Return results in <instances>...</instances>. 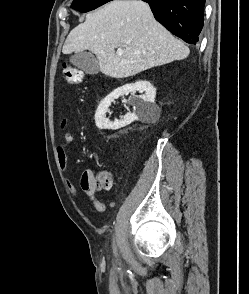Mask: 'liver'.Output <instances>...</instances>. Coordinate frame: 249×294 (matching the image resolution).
Wrapping results in <instances>:
<instances>
[{"label": "liver", "instance_id": "1", "mask_svg": "<svg viewBox=\"0 0 249 294\" xmlns=\"http://www.w3.org/2000/svg\"><path fill=\"white\" fill-rule=\"evenodd\" d=\"M116 48L123 53L118 56ZM86 50L98 59L102 74L126 78L142 71L185 59L189 48L172 36L141 0H113L86 15L84 23L72 29L62 52Z\"/></svg>", "mask_w": 249, "mask_h": 294}]
</instances>
